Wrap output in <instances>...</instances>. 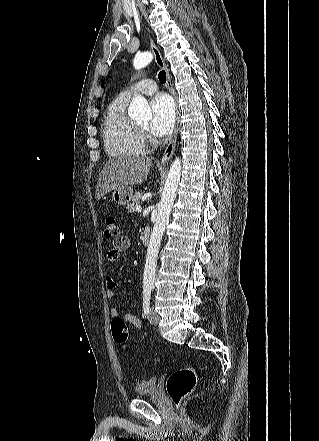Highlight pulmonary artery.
Returning <instances> with one entry per match:
<instances>
[{"instance_id":"e3ab8cb5","label":"pulmonary artery","mask_w":319,"mask_h":441,"mask_svg":"<svg viewBox=\"0 0 319 441\" xmlns=\"http://www.w3.org/2000/svg\"><path fill=\"white\" fill-rule=\"evenodd\" d=\"M156 90H157V85H156V82L154 80L144 79V80H141V81L133 84L128 89L123 91L120 95L125 97V98H129L132 95L138 94V93L146 94V95H151Z\"/></svg>"}]
</instances>
